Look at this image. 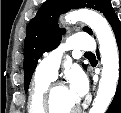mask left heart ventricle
Wrapping results in <instances>:
<instances>
[{"label":"left heart ventricle","mask_w":121,"mask_h":113,"mask_svg":"<svg viewBox=\"0 0 121 113\" xmlns=\"http://www.w3.org/2000/svg\"><path fill=\"white\" fill-rule=\"evenodd\" d=\"M53 107L55 113H68L77 107L78 102L74 99L68 87H57L52 94Z\"/></svg>","instance_id":"left-heart-ventricle-1"}]
</instances>
